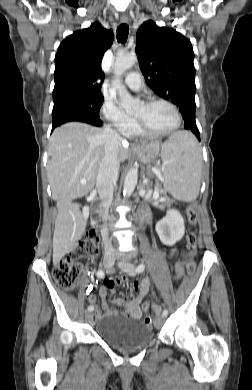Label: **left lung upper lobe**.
Returning a JSON list of instances; mask_svg holds the SVG:
<instances>
[{
  "mask_svg": "<svg viewBox=\"0 0 252 390\" xmlns=\"http://www.w3.org/2000/svg\"><path fill=\"white\" fill-rule=\"evenodd\" d=\"M136 54L147 85L177 105L183 117L195 114L194 52L190 40L149 20L137 31Z\"/></svg>",
  "mask_w": 252,
  "mask_h": 390,
  "instance_id": "obj_1",
  "label": "left lung upper lobe"
}]
</instances>
